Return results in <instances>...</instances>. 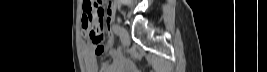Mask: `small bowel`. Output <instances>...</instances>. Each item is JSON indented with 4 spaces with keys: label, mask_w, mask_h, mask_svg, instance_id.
<instances>
[{
    "label": "small bowel",
    "mask_w": 267,
    "mask_h": 72,
    "mask_svg": "<svg viewBox=\"0 0 267 72\" xmlns=\"http://www.w3.org/2000/svg\"><path fill=\"white\" fill-rule=\"evenodd\" d=\"M111 10L108 9V15H110ZM107 22H109V18L107 19ZM84 61H85V65L86 68L89 72H114V68L112 66H110L109 64H104L100 69L98 66V62L96 59V51H95V47L92 46L91 44H86L84 46ZM105 50V48H104ZM103 50V51H104ZM111 54L114 58H119L120 54L117 51H111Z\"/></svg>",
    "instance_id": "1"
}]
</instances>
